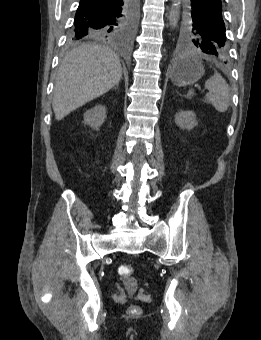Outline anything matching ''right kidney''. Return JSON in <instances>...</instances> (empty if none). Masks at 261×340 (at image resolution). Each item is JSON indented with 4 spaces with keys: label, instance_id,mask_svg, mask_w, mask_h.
Segmentation results:
<instances>
[{
    "label": "right kidney",
    "instance_id": "1",
    "mask_svg": "<svg viewBox=\"0 0 261 340\" xmlns=\"http://www.w3.org/2000/svg\"><path fill=\"white\" fill-rule=\"evenodd\" d=\"M84 123L90 125L93 129H98L106 118V108L103 105H96L83 115Z\"/></svg>",
    "mask_w": 261,
    "mask_h": 340
}]
</instances>
